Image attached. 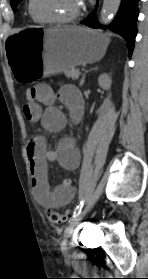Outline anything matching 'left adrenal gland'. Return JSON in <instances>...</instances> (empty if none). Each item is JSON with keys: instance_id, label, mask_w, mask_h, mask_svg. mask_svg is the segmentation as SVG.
I'll return each instance as SVG.
<instances>
[{"instance_id": "a2214340", "label": "left adrenal gland", "mask_w": 148, "mask_h": 279, "mask_svg": "<svg viewBox=\"0 0 148 279\" xmlns=\"http://www.w3.org/2000/svg\"><path fill=\"white\" fill-rule=\"evenodd\" d=\"M97 69H98V67H95V68H93V69H91V70H97ZM88 72H89V71H86V72L83 74V77H82V79H81V81H80V84H79L80 87L83 86L84 81H85V77H86V73H88Z\"/></svg>"}]
</instances>
